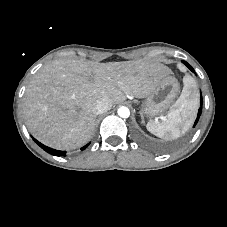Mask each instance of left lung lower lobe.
I'll use <instances>...</instances> for the list:
<instances>
[{"label": "left lung lower lobe", "mask_w": 227, "mask_h": 227, "mask_svg": "<svg viewBox=\"0 0 227 227\" xmlns=\"http://www.w3.org/2000/svg\"><path fill=\"white\" fill-rule=\"evenodd\" d=\"M183 63H184L192 72H194V69H193L187 62L183 61ZM200 101H201V105H202V97H201V100H200ZM201 112H202V107L199 108L198 115H197V118H196V121H195L193 127H195V125L197 124V122H198V120H199V117H200V115H201Z\"/></svg>", "instance_id": "left-lung-lower-lobe-1"}]
</instances>
